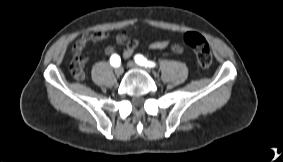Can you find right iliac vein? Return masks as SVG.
Returning a JSON list of instances; mask_svg holds the SVG:
<instances>
[{
    "mask_svg": "<svg viewBox=\"0 0 283 162\" xmlns=\"http://www.w3.org/2000/svg\"><path fill=\"white\" fill-rule=\"evenodd\" d=\"M123 68L122 67H117L116 69H115V75L116 76H121L122 74H123Z\"/></svg>",
    "mask_w": 283,
    "mask_h": 162,
    "instance_id": "63e3f726",
    "label": "right iliac vein"
}]
</instances>
